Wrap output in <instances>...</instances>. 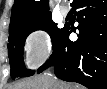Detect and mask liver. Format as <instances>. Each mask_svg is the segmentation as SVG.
<instances>
[{
  "label": "liver",
  "instance_id": "obj_1",
  "mask_svg": "<svg viewBox=\"0 0 107 89\" xmlns=\"http://www.w3.org/2000/svg\"><path fill=\"white\" fill-rule=\"evenodd\" d=\"M9 89H83L79 85H71L54 77L50 79L46 74L36 75L23 81H19Z\"/></svg>",
  "mask_w": 107,
  "mask_h": 89
}]
</instances>
